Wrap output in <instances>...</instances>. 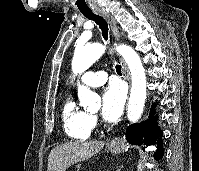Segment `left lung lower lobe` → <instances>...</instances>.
<instances>
[{
	"instance_id": "1",
	"label": "left lung lower lobe",
	"mask_w": 199,
	"mask_h": 171,
	"mask_svg": "<svg viewBox=\"0 0 199 171\" xmlns=\"http://www.w3.org/2000/svg\"><path fill=\"white\" fill-rule=\"evenodd\" d=\"M153 114V110L151 109L147 121L130 125L126 130V139L129 143L138 146L157 144L155 156L156 159H159L164 154L163 141L160 138L162 137V131L157 125Z\"/></svg>"
}]
</instances>
